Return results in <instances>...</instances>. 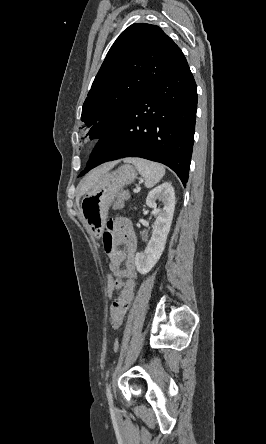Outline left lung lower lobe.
<instances>
[{"instance_id":"1","label":"left lung lower lobe","mask_w":266,"mask_h":444,"mask_svg":"<svg viewBox=\"0 0 266 444\" xmlns=\"http://www.w3.org/2000/svg\"><path fill=\"white\" fill-rule=\"evenodd\" d=\"M196 110V83L184 58L102 137L82 175L106 161L141 157L170 167L186 186Z\"/></svg>"}]
</instances>
